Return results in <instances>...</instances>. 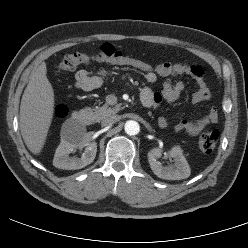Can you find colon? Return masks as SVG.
<instances>
[{"mask_svg": "<svg viewBox=\"0 0 248 248\" xmlns=\"http://www.w3.org/2000/svg\"><path fill=\"white\" fill-rule=\"evenodd\" d=\"M92 62L119 64L131 67L140 72L150 71L154 68V66L148 62L125 55L121 51L117 50L113 45L104 43L95 54L63 53L57 66V70L61 73H69L76 70L81 65H87ZM67 113V107L64 105H59L55 109V117L58 119L66 117ZM218 139L219 132L213 130L203 133L198 140V144L203 152L211 153L214 150Z\"/></svg>", "mask_w": 248, "mask_h": 248, "instance_id": "obj_1", "label": "colon"}]
</instances>
